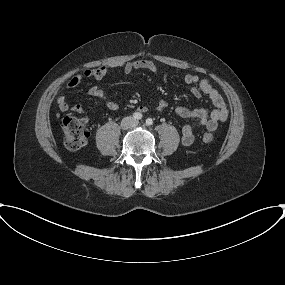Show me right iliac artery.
<instances>
[{
    "instance_id": "right-iliac-artery-1",
    "label": "right iliac artery",
    "mask_w": 285,
    "mask_h": 285,
    "mask_svg": "<svg viewBox=\"0 0 285 285\" xmlns=\"http://www.w3.org/2000/svg\"><path fill=\"white\" fill-rule=\"evenodd\" d=\"M133 118L137 119V120H140L142 118V114L139 113V112H135V113H133Z\"/></svg>"
}]
</instances>
